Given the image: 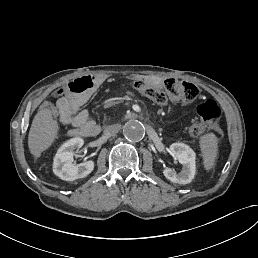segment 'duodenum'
Segmentation results:
<instances>
[{
	"mask_svg": "<svg viewBox=\"0 0 258 258\" xmlns=\"http://www.w3.org/2000/svg\"><path fill=\"white\" fill-rule=\"evenodd\" d=\"M98 79L101 80L102 78H101V77H98ZM76 135H77V136H87L86 133L81 132V131H78V132L76 133Z\"/></svg>",
	"mask_w": 258,
	"mask_h": 258,
	"instance_id": "duodenum-1",
	"label": "duodenum"
}]
</instances>
